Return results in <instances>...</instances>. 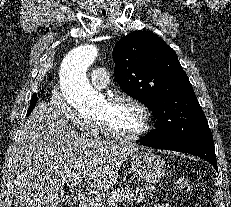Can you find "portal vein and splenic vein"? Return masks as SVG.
Listing matches in <instances>:
<instances>
[{"label": "portal vein and splenic vein", "mask_w": 231, "mask_h": 207, "mask_svg": "<svg viewBox=\"0 0 231 207\" xmlns=\"http://www.w3.org/2000/svg\"><path fill=\"white\" fill-rule=\"evenodd\" d=\"M62 181H63V182H68L67 179H63ZM71 185H72L73 187H76V188H78L79 190H81V191L87 193L88 195L94 196V198H100V196H99L96 192H92V191H89L88 189H86V188L83 186V184H82L81 181H71ZM109 206H111V207H118V205L115 204V203H110Z\"/></svg>", "instance_id": "18ae733b"}]
</instances>
